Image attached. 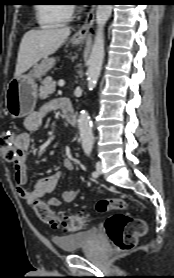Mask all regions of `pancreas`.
<instances>
[{"instance_id":"obj_1","label":"pancreas","mask_w":174,"mask_h":278,"mask_svg":"<svg viewBox=\"0 0 174 278\" xmlns=\"http://www.w3.org/2000/svg\"><path fill=\"white\" fill-rule=\"evenodd\" d=\"M39 89V97L45 99L55 91L56 82L50 78L44 79Z\"/></svg>"}]
</instances>
